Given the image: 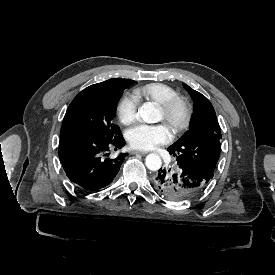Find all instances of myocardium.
<instances>
[{
    "label": "myocardium",
    "instance_id": "1",
    "mask_svg": "<svg viewBox=\"0 0 275 275\" xmlns=\"http://www.w3.org/2000/svg\"><path fill=\"white\" fill-rule=\"evenodd\" d=\"M165 116H171L178 108L182 111L181 119L176 123L173 133L178 135L186 131L192 121L193 108L189 100L183 96L175 95L166 101L159 103Z\"/></svg>",
    "mask_w": 275,
    "mask_h": 275
}]
</instances>
